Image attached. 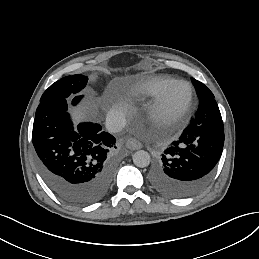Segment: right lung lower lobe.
<instances>
[{
	"mask_svg": "<svg viewBox=\"0 0 259 259\" xmlns=\"http://www.w3.org/2000/svg\"><path fill=\"white\" fill-rule=\"evenodd\" d=\"M67 101H43L36 110L32 132L36 164L60 199L88 205L110 190L114 164L109 152L116 148V139L97 123H80L74 128Z\"/></svg>",
	"mask_w": 259,
	"mask_h": 259,
	"instance_id": "obj_1",
	"label": "right lung lower lobe"
}]
</instances>
